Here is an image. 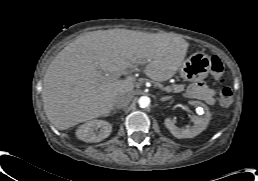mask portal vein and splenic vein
I'll return each mask as SVG.
<instances>
[{
	"mask_svg": "<svg viewBox=\"0 0 258 181\" xmlns=\"http://www.w3.org/2000/svg\"><path fill=\"white\" fill-rule=\"evenodd\" d=\"M166 92H171V89L169 87H164L163 88Z\"/></svg>",
	"mask_w": 258,
	"mask_h": 181,
	"instance_id": "18ae733b",
	"label": "portal vein and splenic vein"
}]
</instances>
